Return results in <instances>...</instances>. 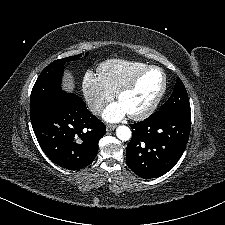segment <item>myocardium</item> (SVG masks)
<instances>
[{
	"label": "myocardium",
	"instance_id": "1",
	"mask_svg": "<svg viewBox=\"0 0 225 225\" xmlns=\"http://www.w3.org/2000/svg\"><path fill=\"white\" fill-rule=\"evenodd\" d=\"M150 70H156V71L160 72V74L162 75L161 89L158 92V94L156 95V97L154 98V100L151 102V104L145 110H143L142 112H140L138 114H128V116L132 120H135V121H140V120H143V119L149 117L154 112V110L157 108L162 97L164 96V94L166 92V88H167V78H166V75H165L164 71L162 70V68L155 66V65L146 66L139 73H137L127 84H125L123 87H121L118 90V92L116 93V98L119 101L123 95L134 90L137 87L139 81L142 79V77Z\"/></svg>",
	"mask_w": 225,
	"mask_h": 225
}]
</instances>
